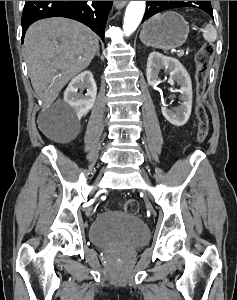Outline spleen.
Here are the masks:
<instances>
[{"label":"spleen","instance_id":"1","mask_svg":"<svg viewBox=\"0 0 237 300\" xmlns=\"http://www.w3.org/2000/svg\"><path fill=\"white\" fill-rule=\"evenodd\" d=\"M159 17H161L160 13H158V15H155L153 19H159ZM201 31L203 33L205 41H208V43H214V41H216L217 33L213 25H206L205 29H201Z\"/></svg>","mask_w":237,"mask_h":300}]
</instances>
